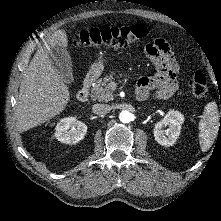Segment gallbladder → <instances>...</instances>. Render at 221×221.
<instances>
[{"mask_svg": "<svg viewBox=\"0 0 221 221\" xmlns=\"http://www.w3.org/2000/svg\"><path fill=\"white\" fill-rule=\"evenodd\" d=\"M50 59L62 81L70 84L74 81L72 61L66 48L55 46L50 50Z\"/></svg>", "mask_w": 221, "mask_h": 221, "instance_id": "obj_1", "label": "gallbladder"}]
</instances>
